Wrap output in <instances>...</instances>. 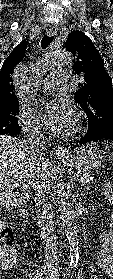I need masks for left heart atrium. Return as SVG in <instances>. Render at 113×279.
Returning <instances> with one entry per match:
<instances>
[{"instance_id":"left-heart-atrium-1","label":"left heart atrium","mask_w":113,"mask_h":279,"mask_svg":"<svg viewBox=\"0 0 113 279\" xmlns=\"http://www.w3.org/2000/svg\"><path fill=\"white\" fill-rule=\"evenodd\" d=\"M44 123L54 132L69 130L74 123V111L63 98L52 101L42 112Z\"/></svg>"}]
</instances>
